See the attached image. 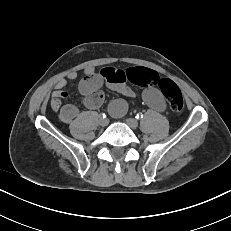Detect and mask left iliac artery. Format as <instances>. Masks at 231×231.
<instances>
[{
	"label": "left iliac artery",
	"mask_w": 231,
	"mask_h": 231,
	"mask_svg": "<svg viewBox=\"0 0 231 231\" xmlns=\"http://www.w3.org/2000/svg\"><path fill=\"white\" fill-rule=\"evenodd\" d=\"M136 118H137V119H142V118H143V114H142V113H138V114L136 115Z\"/></svg>",
	"instance_id": "obj_1"
}]
</instances>
